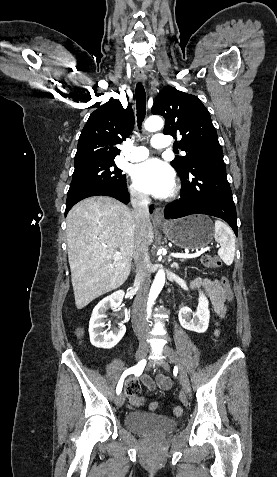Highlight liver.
I'll return each mask as SVG.
<instances>
[{"label":"liver","instance_id":"1","mask_svg":"<svg viewBox=\"0 0 277 477\" xmlns=\"http://www.w3.org/2000/svg\"><path fill=\"white\" fill-rule=\"evenodd\" d=\"M66 238L77 309L120 287L128 278L136 251L132 211L118 200L96 196L76 204L67 215ZM151 222L144 242L153 243ZM121 257L115 259V251Z\"/></svg>","mask_w":277,"mask_h":477}]
</instances>
